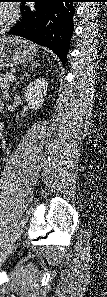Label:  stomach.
<instances>
[{
  "label": "stomach",
  "instance_id": "1",
  "mask_svg": "<svg viewBox=\"0 0 107 297\" xmlns=\"http://www.w3.org/2000/svg\"><path fill=\"white\" fill-rule=\"evenodd\" d=\"M33 54L32 48L19 39L5 40L0 47V63L9 67L21 63Z\"/></svg>",
  "mask_w": 107,
  "mask_h": 297
}]
</instances>
